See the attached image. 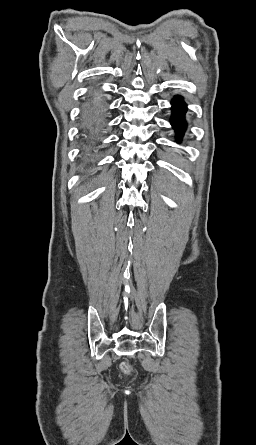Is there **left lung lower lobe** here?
I'll use <instances>...</instances> for the list:
<instances>
[{
	"mask_svg": "<svg viewBox=\"0 0 256 445\" xmlns=\"http://www.w3.org/2000/svg\"><path fill=\"white\" fill-rule=\"evenodd\" d=\"M172 116L171 124L176 131L177 138L180 140L186 129V122L184 120V115L186 113V105L181 96H176L172 100Z\"/></svg>",
	"mask_w": 256,
	"mask_h": 445,
	"instance_id": "left-lung-lower-lobe-1",
	"label": "left lung lower lobe"
}]
</instances>
